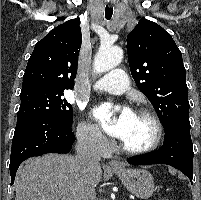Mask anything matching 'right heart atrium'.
<instances>
[{"label":"right heart atrium","mask_w":201,"mask_h":200,"mask_svg":"<svg viewBox=\"0 0 201 200\" xmlns=\"http://www.w3.org/2000/svg\"><path fill=\"white\" fill-rule=\"evenodd\" d=\"M77 139L83 147L99 154H106L110 143L93 124L81 121L77 127Z\"/></svg>","instance_id":"d8ad5b80"}]
</instances>
